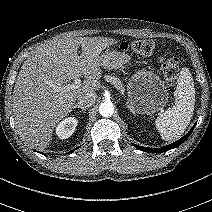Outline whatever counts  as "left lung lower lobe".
Listing matches in <instances>:
<instances>
[{
    "instance_id": "1",
    "label": "left lung lower lobe",
    "mask_w": 212,
    "mask_h": 212,
    "mask_svg": "<svg viewBox=\"0 0 212 212\" xmlns=\"http://www.w3.org/2000/svg\"><path fill=\"white\" fill-rule=\"evenodd\" d=\"M194 127H195V125L191 128V130L184 137H182L179 140H177L176 142H174V143H172L170 145L164 146L162 148H146V147H141V146H138V145H135V144H134V146L136 148H138L139 150H142L144 152L162 153V152H165V151H168V150H171L173 148H176V147L180 146L190 136V134L192 133Z\"/></svg>"
}]
</instances>
